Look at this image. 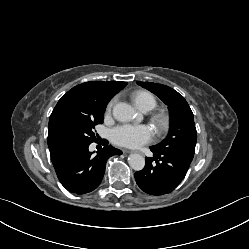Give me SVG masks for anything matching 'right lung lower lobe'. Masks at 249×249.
I'll return each mask as SVG.
<instances>
[{
    "mask_svg": "<svg viewBox=\"0 0 249 249\" xmlns=\"http://www.w3.org/2000/svg\"><path fill=\"white\" fill-rule=\"evenodd\" d=\"M89 145L73 148L53 163L61 184L75 194H85L96 189L103 178L107 159L122 154V151L108 146L104 140V147L93 156L88 150Z\"/></svg>",
    "mask_w": 249,
    "mask_h": 249,
    "instance_id": "right-lung-lower-lobe-1",
    "label": "right lung lower lobe"
}]
</instances>
